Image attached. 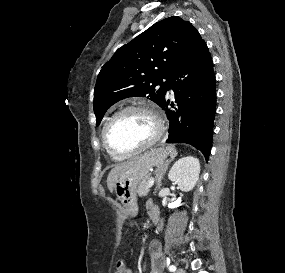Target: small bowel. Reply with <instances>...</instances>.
Masks as SVG:
<instances>
[{
	"label": "small bowel",
	"mask_w": 285,
	"mask_h": 273,
	"mask_svg": "<svg viewBox=\"0 0 285 273\" xmlns=\"http://www.w3.org/2000/svg\"><path fill=\"white\" fill-rule=\"evenodd\" d=\"M146 209L150 215L151 210H156L155 204L152 201L146 203ZM149 255H150V268L149 273H163L164 258L162 254V248L159 242L153 241L149 245ZM127 273H132L128 268Z\"/></svg>",
	"instance_id": "obj_1"
}]
</instances>
